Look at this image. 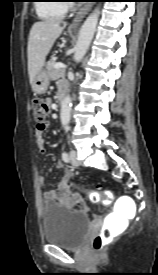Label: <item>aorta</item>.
<instances>
[{
  "instance_id": "aorta-1",
  "label": "aorta",
  "mask_w": 158,
  "mask_h": 275,
  "mask_svg": "<svg viewBox=\"0 0 158 275\" xmlns=\"http://www.w3.org/2000/svg\"><path fill=\"white\" fill-rule=\"evenodd\" d=\"M99 14H100L99 8H96L87 17V19L85 20L84 24L80 29L78 41L76 44L75 54H74V60L77 63L83 59L84 55L86 54L89 48V45L93 39L95 30H96ZM71 107H72L71 97L66 96L61 103V113H60L61 123L63 127H66L69 124Z\"/></svg>"
}]
</instances>
